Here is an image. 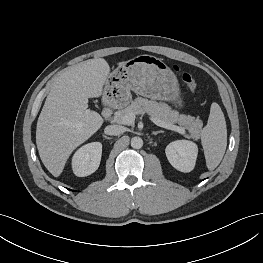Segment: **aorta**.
<instances>
[{"label": "aorta", "instance_id": "obj_1", "mask_svg": "<svg viewBox=\"0 0 263 263\" xmlns=\"http://www.w3.org/2000/svg\"><path fill=\"white\" fill-rule=\"evenodd\" d=\"M143 146V140L140 137H133L131 139V147L134 149H140Z\"/></svg>", "mask_w": 263, "mask_h": 263}]
</instances>
